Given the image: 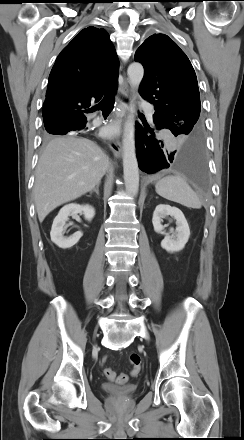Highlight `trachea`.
<instances>
[{"label":"trachea","instance_id":"trachea-1","mask_svg":"<svg viewBox=\"0 0 244 440\" xmlns=\"http://www.w3.org/2000/svg\"><path fill=\"white\" fill-rule=\"evenodd\" d=\"M113 107H114L113 97L110 95H106L98 105L90 108L88 112H93L94 110L98 109L101 110L102 113H110Z\"/></svg>","mask_w":244,"mask_h":440}]
</instances>
